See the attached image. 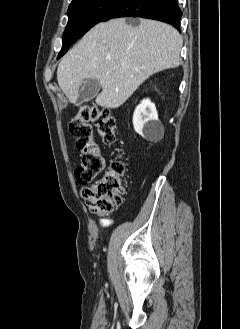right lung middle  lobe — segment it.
I'll list each match as a JSON object with an SVG mask.
<instances>
[{"mask_svg":"<svg viewBox=\"0 0 240 329\" xmlns=\"http://www.w3.org/2000/svg\"><path fill=\"white\" fill-rule=\"evenodd\" d=\"M121 0H75L68 9V23L64 31L62 49L58 58L62 57L70 45L83 36Z\"/></svg>","mask_w":240,"mask_h":329,"instance_id":"right-lung-middle-lobe-1","label":"right lung middle lobe"}]
</instances>
